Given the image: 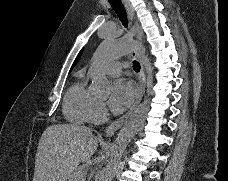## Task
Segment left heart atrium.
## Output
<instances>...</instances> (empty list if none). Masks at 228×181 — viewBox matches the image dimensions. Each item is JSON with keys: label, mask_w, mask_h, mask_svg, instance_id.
<instances>
[{"label": "left heart atrium", "mask_w": 228, "mask_h": 181, "mask_svg": "<svg viewBox=\"0 0 228 181\" xmlns=\"http://www.w3.org/2000/svg\"><path fill=\"white\" fill-rule=\"evenodd\" d=\"M134 95L133 84L126 79H118L113 85L110 107L112 111H123Z\"/></svg>", "instance_id": "left-heart-atrium-1"}]
</instances>
